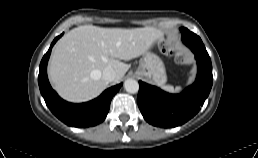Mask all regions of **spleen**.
Listing matches in <instances>:
<instances>
[{"label": "spleen", "mask_w": 258, "mask_h": 158, "mask_svg": "<svg viewBox=\"0 0 258 158\" xmlns=\"http://www.w3.org/2000/svg\"><path fill=\"white\" fill-rule=\"evenodd\" d=\"M163 89L168 91V92H171V93H177V92H180L182 90V88L180 86H177V87L174 88L171 85L164 86Z\"/></svg>", "instance_id": "3e777b00"}]
</instances>
